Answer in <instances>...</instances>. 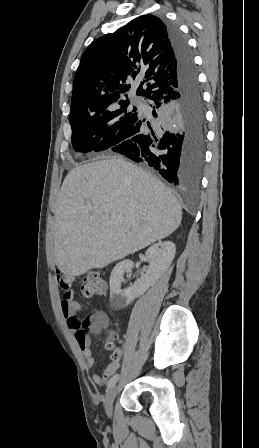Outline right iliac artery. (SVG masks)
<instances>
[{"label": "right iliac artery", "instance_id": "obj_1", "mask_svg": "<svg viewBox=\"0 0 259 448\" xmlns=\"http://www.w3.org/2000/svg\"><path fill=\"white\" fill-rule=\"evenodd\" d=\"M119 379V374H115L108 382V388L112 387Z\"/></svg>", "mask_w": 259, "mask_h": 448}]
</instances>
